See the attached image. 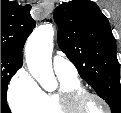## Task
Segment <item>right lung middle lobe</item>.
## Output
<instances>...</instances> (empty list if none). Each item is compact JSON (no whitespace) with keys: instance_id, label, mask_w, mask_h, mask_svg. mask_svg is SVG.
I'll return each instance as SVG.
<instances>
[{"instance_id":"1","label":"right lung middle lobe","mask_w":121,"mask_h":113,"mask_svg":"<svg viewBox=\"0 0 121 113\" xmlns=\"http://www.w3.org/2000/svg\"><path fill=\"white\" fill-rule=\"evenodd\" d=\"M21 66V60L1 55V113H11L6 99L7 87L11 77Z\"/></svg>"}]
</instances>
